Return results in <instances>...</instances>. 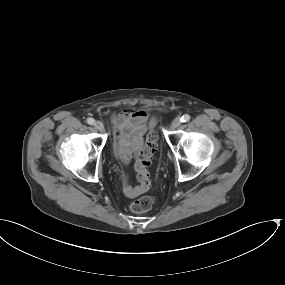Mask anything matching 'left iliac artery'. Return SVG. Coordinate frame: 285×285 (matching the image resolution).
<instances>
[{
    "label": "left iliac artery",
    "instance_id": "1",
    "mask_svg": "<svg viewBox=\"0 0 285 285\" xmlns=\"http://www.w3.org/2000/svg\"><path fill=\"white\" fill-rule=\"evenodd\" d=\"M190 120V116L185 114L181 117V122H188Z\"/></svg>",
    "mask_w": 285,
    "mask_h": 285
}]
</instances>
